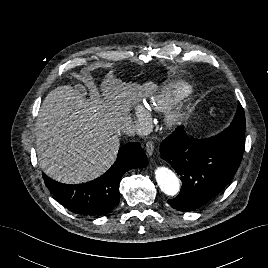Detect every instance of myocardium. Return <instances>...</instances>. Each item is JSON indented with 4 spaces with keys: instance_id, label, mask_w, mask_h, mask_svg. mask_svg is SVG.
<instances>
[{
    "instance_id": "1",
    "label": "myocardium",
    "mask_w": 268,
    "mask_h": 268,
    "mask_svg": "<svg viewBox=\"0 0 268 268\" xmlns=\"http://www.w3.org/2000/svg\"><path fill=\"white\" fill-rule=\"evenodd\" d=\"M182 116L183 114L180 109L172 110L167 114L166 122L168 125L178 124L182 120Z\"/></svg>"
}]
</instances>
